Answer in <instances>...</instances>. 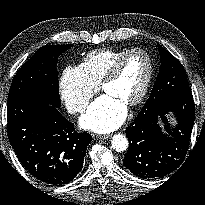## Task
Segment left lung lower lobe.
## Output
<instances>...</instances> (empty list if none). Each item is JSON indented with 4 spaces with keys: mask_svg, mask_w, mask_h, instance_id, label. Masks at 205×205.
<instances>
[{
    "mask_svg": "<svg viewBox=\"0 0 205 205\" xmlns=\"http://www.w3.org/2000/svg\"><path fill=\"white\" fill-rule=\"evenodd\" d=\"M170 112L176 117L175 127H170L166 119ZM194 118L190 91L174 93L153 108L143 107L125 130L129 149L123 160L124 166L144 179L163 177L173 172L187 152Z\"/></svg>",
    "mask_w": 205,
    "mask_h": 205,
    "instance_id": "left-lung-lower-lobe-1",
    "label": "left lung lower lobe"
}]
</instances>
